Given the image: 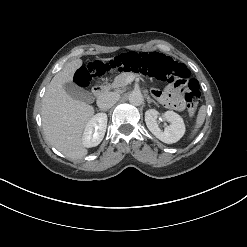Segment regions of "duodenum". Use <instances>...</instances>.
Segmentation results:
<instances>
[{
    "label": "duodenum",
    "instance_id": "obj_1",
    "mask_svg": "<svg viewBox=\"0 0 247 247\" xmlns=\"http://www.w3.org/2000/svg\"><path fill=\"white\" fill-rule=\"evenodd\" d=\"M105 90H106V85L103 83H99L93 87L92 91H93V95L98 98L103 95Z\"/></svg>",
    "mask_w": 247,
    "mask_h": 247
}]
</instances>
